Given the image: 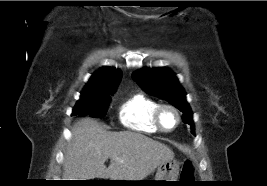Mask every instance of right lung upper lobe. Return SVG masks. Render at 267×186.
Listing matches in <instances>:
<instances>
[{
  "instance_id": "right-lung-upper-lobe-1",
  "label": "right lung upper lobe",
  "mask_w": 267,
  "mask_h": 186,
  "mask_svg": "<svg viewBox=\"0 0 267 186\" xmlns=\"http://www.w3.org/2000/svg\"><path fill=\"white\" fill-rule=\"evenodd\" d=\"M122 72L115 68H101L89 79L82 92L116 90L120 83Z\"/></svg>"
}]
</instances>
